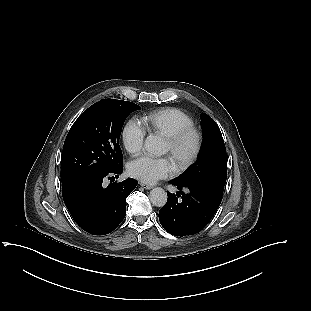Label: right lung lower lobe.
Wrapping results in <instances>:
<instances>
[{
	"mask_svg": "<svg viewBox=\"0 0 311 311\" xmlns=\"http://www.w3.org/2000/svg\"><path fill=\"white\" fill-rule=\"evenodd\" d=\"M122 165L110 172L89 173L62 184V195L75 222L86 232L105 235L117 228L126 214V198L138 182L128 178L102 185L105 177H118Z\"/></svg>",
	"mask_w": 311,
	"mask_h": 311,
	"instance_id": "1",
	"label": "right lung lower lobe"
}]
</instances>
